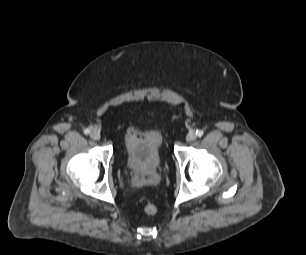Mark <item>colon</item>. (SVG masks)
I'll return each mask as SVG.
<instances>
[{
    "instance_id": "1",
    "label": "colon",
    "mask_w": 306,
    "mask_h": 255,
    "mask_svg": "<svg viewBox=\"0 0 306 255\" xmlns=\"http://www.w3.org/2000/svg\"><path fill=\"white\" fill-rule=\"evenodd\" d=\"M144 212L148 215H154L157 212V208L154 204L152 203H147L144 206Z\"/></svg>"
}]
</instances>
